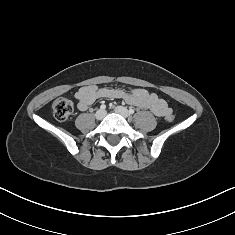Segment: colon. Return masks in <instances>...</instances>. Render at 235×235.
<instances>
[{
  "label": "colon",
  "instance_id": "5ec220e1",
  "mask_svg": "<svg viewBox=\"0 0 235 235\" xmlns=\"http://www.w3.org/2000/svg\"><path fill=\"white\" fill-rule=\"evenodd\" d=\"M52 110L53 115L57 120L64 121L71 116L73 112V105L70 100L60 97L53 102ZM166 120L168 122H172L174 120V115L168 114L166 116Z\"/></svg>",
  "mask_w": 235,
  "mask_h": 235
}]
</instances>
